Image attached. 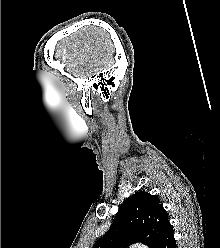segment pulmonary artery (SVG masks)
Here are the masks:
<instances>
[{"mask_svg":"<svg viewBox=\"0 0 220 248\" xmlns=\"http://www.w3.org/2000/svg\"><path fill=\"white\" fill-rule=\"evenodd\" d=\"M132 248H146V247H145V246H143V245H139V244H137V245L133 246Z\"/></svg>","mask_w":220,"mask_h":248,"instance_id":"pulmonary-artery-1","label":"pulmonary artery"}]
</instances>
